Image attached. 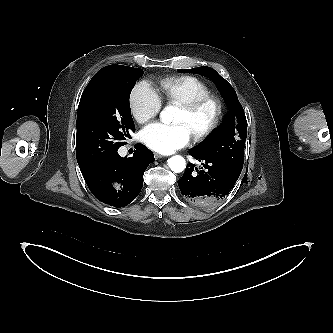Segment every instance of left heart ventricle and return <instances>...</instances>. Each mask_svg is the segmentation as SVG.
<instances>
[{"label":"left heart ventricle","mask_w":333,"mask_h":333,"mask_svg":"<svg viewBox=\"0 0 333 333\" xmlns=\"http://www.w3.org/2000/svg\"><path fill=\"white\" fill-rule=\"evenodd\" d=\"M215 106L209 104L193 116H188L181 109L178 112L175 122L183 124L187 127L190 134L204 130L213 120L215 116Z\"/></svg>","instance_id":"b2bd125f"}]
</instances>
